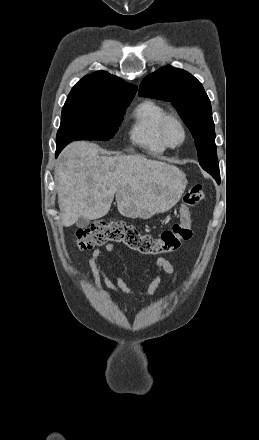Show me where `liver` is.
Wrapping results in <instances>:
<instances>
[{
  "instance_id": "6515ba94",
  "label": "liver",
  "mask_w": 259,
  "mask_h": 440,
  "mask_svg": "<svg viewBox=\"0 0 259 440\" xmlns=\"http://www.w3.org/2000/svg\"><path fill=\"white\" fill-rule=\"evenodd\" d=\"M54 177L65 227L80 217L105 216L115 195L121 215L148 219L170 210L185 188L184 175L175 166L141 155H100L98 145L85 141L63 150Z\"/></svg>"
}]
</instances>
